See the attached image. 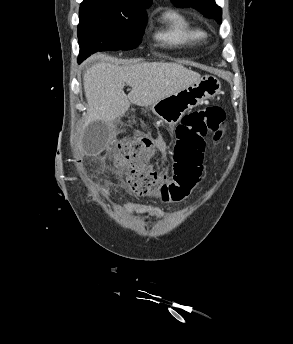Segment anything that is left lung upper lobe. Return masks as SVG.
I'll return each instance as SVG.
<instances>
[{"instance_id":"5c2ea615","label":"left lung upper lobe","mask_w":293,"mask_h":344,"mask_svg":"<svg viewBox=\"0 0 293 344\" xmlns=\"http://www.w3.org/2000/svg\"><path fill=\"white\" fill-rule=\"evenodd\" d=\"M180 8H195L203 15L214 18L219 24L222 21V9L216 5L215 0H171Z\"/></svg>"}]
</instances>
